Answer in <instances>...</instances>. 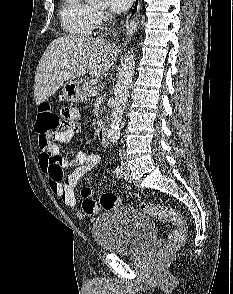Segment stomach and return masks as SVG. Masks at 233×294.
Segmentation results:
<instances>
[{
	"label": "stomach",
	"mask_w": 233,
	"mask_h": 294,
	"mask_svg": "<svg viewBox=\"0 0 233 294\" xmlns=\"http://www.w3.org/2000/svg\"><path fill=\"white\" fill-rule=\"evenodd\" d=\"M63 97L66 101L74 103L81 101V87L79 82L68 80L63 86Z\"/></svg>",
	"instance_id": "obj_1"
}]
</instances>
